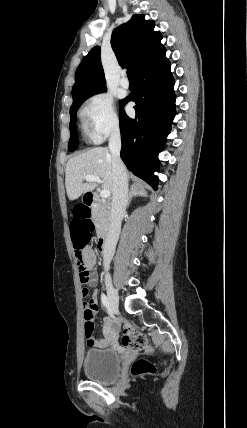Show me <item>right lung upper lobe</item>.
<instances>
[{"instance_id":"right-lung-upper-lobe-1","label":"right lung upper lobe","mask_w":247,"mask_h":428,"mask_svg":"<svg viewBox=\"0 0 247 428\" xmlns=\"http://www.w3.org/2000/svg\"><path fill=\"white\" fill-rule=\"evenodd\" d=\"M154 21L145 16L133 15L125 24L113 31L111 46L120 64L140 71L158 62L165 56V47L160 43L163 36L154 31ZM106 90L105 76L100 59V47L95 46L85 56L76 72L72 88L73 103Z\"/></svg>"}]
</instances>
